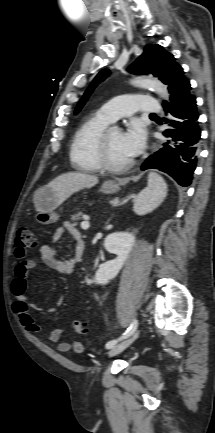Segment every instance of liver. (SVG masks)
<instances>
[{
	"instance_id": "6515ba94",
	"label": "liver",
	"mask_w": 215,
	"mask_h": 433,
	"mask_svg": "<svg viewBox=\"0 0 215 433\" xmlns=\"http://www.w3.org/2000/svg\"><path fill=\"white\" fill-rule=\"evenodd\" d=\"M98 183V178L79 172H68L53 179L47 186L52 188L57 195L60 204L73 193L84 188H91Z\"/></svg>"
}]
</instances>
